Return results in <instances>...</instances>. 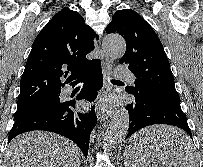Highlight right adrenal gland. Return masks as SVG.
Listing matches in <instances>:
<instances>
[{
  "label": "right adrenal gland",
  "mask_w": 203,
  "mask_h": 167,
  "mask_svg": "<svg viewBox=\"0 0 203 167\" xmlns=\"http://www.w3.org/2000/svg\"><path fill=\"white\" fill-rule=\"evenodd\" d=\"M78 167H82V162H80L79 166Z\"/></svg>",
  "instance_id": "1"
}]
</instances>
